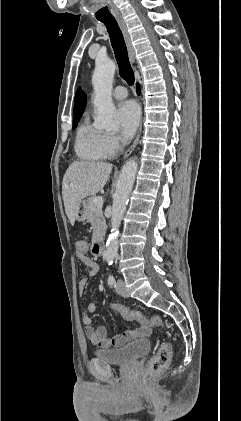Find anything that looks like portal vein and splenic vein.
<instances>
[{"mask_svg": "<svg viewBox=\"0 0 241 421\" xmlns=\"http://www.w3.org/2000/svg\"><path fill=\"white\" fill-rule=\"evenodd\" d=\"M103 203H104V201H103V198H102V197H95V198L93 199V204H94L95 206H97V207H101V208H102Z\"/></svg>", "mask_w": 241, "mask_h": 421, "instance_id": "18ae733b", "label": "portal vein and splenic vein"}]
</instances>
